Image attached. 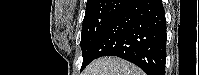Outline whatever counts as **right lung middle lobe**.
I'll list each match as a JSON object with an SVG mask.
<instances>
[{"instance_id": "obj_1", "label": "right lung middle lobe", "mask_w": 199, "mask_h": 75, "mask_svg": "<svg viewBox=\"0 0 199 75\" xmlns=\"http://www.w3.org/2000/svg\"><path fill=\"white\" fill-rule=\"evenodd\" d=\"M127 1L128 0H107L99 6L86 9L81 36L83 55L81 70L90 63L91 52L96 42Z\"/></svg>"}]
</instances>
